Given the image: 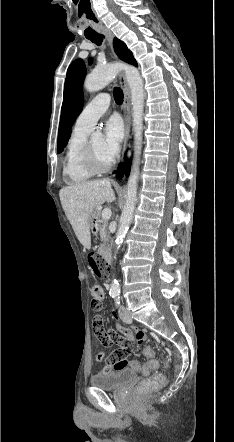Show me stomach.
I'll return each instance as SVG.
<instances>
[{
  "mask_svg": "<svg viewBox=\"0 0 234 442\" xmlns=\"http://www.w3.org/2000/svg\"><path fill=\"white\" fill-rule=\"evenodd\" d=\"M95 219H96V214L95 212H93L89 220V227L92 231H95L97 229V223L95 222Z\"/></svg>",
  "mask_w": 234,
  "mask_h": 442,
  "instance_id": "stomach-1",
  "label": "stomach"
}]
</instances>
